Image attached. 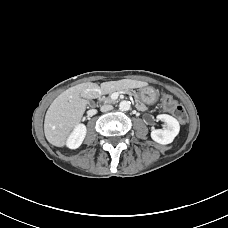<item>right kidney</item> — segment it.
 <instances>
[{
	"mask_svg": "<svg viewBox=\"0 0 228 228\" xmlns=\"http://www.w3.org/2000/svg\"><path fill=\"white\" fill-rule=\"evenodd\" d=\"M85 136L86 126L83 124L77 125L67 140V146L70 149L78 148L82 144Z\"/></svg>",
	"mask_w": 228,
	"mask_h": 228,
	"instance_id": "1",
	"label": "right kidney"
}]
</instances>
